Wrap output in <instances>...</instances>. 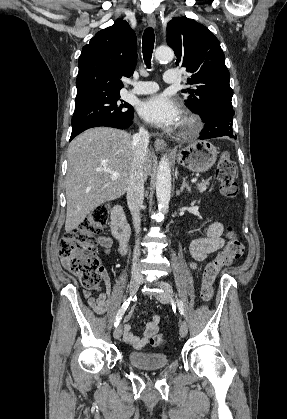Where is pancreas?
Returning <instances> with one entry per match:
<instances>
[{"instance_id":"1","label":"pancreas","mask_w":287,"mask_h":419,"mask_svg":"<svg viewBox=\"0 0 287 419\" xmlns=\"http://www.w3.org/2000/svg\"><path fill=\"white\" fill-rule=\"evenodd\" d=\"M209 185H210V182L208 180H206V181H202L200 183H197L196 187H197V190L202 193V192L206 191V189Z\"/></svg>"}]
</instances>
